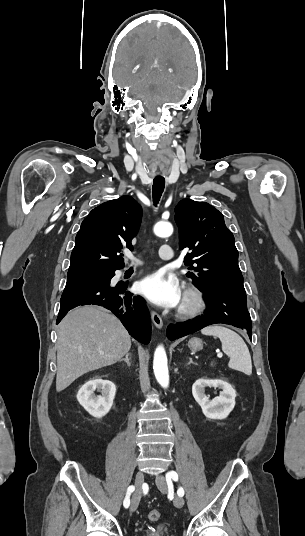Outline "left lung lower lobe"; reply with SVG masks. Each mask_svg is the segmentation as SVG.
I'll use <instances>...</instances> for the list:
<instances>
[{"label":"left lung lower lobe","mask_w":305,"mask_h":536,"mask_svg":"<svg viewBox=\"0 0 305 536\" xmlns=\"http://www.w3.org/2000/svg\"><path fill=\"white\" fill-rule=\"evenodd\" d=\"M207 309L196 319L169 325L167 337L170 340L194 333L208 325L224 323L245 329L252 337V323L247 310L245 290L214 289L205 291Z\"/></svg>","instance_id":"left-lung-lower-lobe-1"}]
</instances>
